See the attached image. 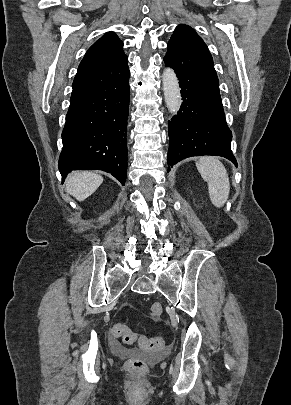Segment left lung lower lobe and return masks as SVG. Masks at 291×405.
<instances>
[{
  "label": "left lung lower lobe",
  "instance_id": "obj_1",
  "mask_svg": "<svg viewBox=\"0 0 291 405\" xmlns=\"http://www.w3.org/2000/svg\"><path fill=\"white\" fill-rule=\"evenodd\" d=\"M164 62L174 69L183 100L178 114L168 121V165L201 155L222 156L237 165L209 50L170 39Z\"/></svg>",
  "mask_w": 291,
  "mask_h": 405
}]
</instances>
